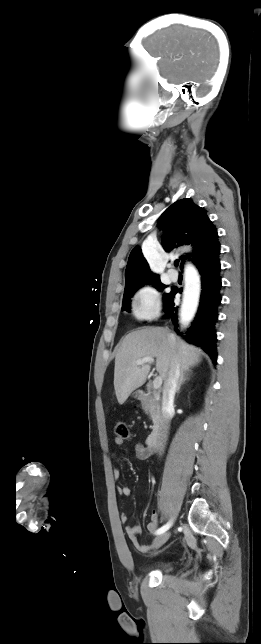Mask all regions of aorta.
Instances as JSON below:
<instances>
[{
	"mask_svg": "<svg viewBox=\"0 0 261 644\" xmlns=\"http://www.w3.org/2000/svg\"><path fill=\"white\" fill-rule=\"evenodd\" d=\"M199 297V277L195 268L187 265L185 268V288L183 302L180 310V318L183 324H187L193 317Z\"/></svg>",
	"mask_w": 261,
	"mask_h": 644,
	"instance_id": "762f6f07",
	"label": "aorta"
}]
</instances>
